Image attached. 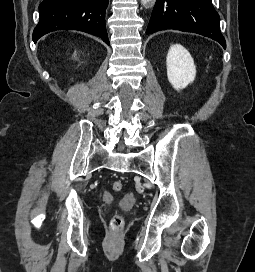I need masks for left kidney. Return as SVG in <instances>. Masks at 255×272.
Segmentation results:
<instances>
[{"mask_svg":"<svg viewBox=\"0 0 255 272\" xmlns=\"http://www.w3.org/2000/svg\"><path fill=\"white\" fill-rule=\"evenodd\" d=\"M167 77L177 91L192 83L196 77V67L190 53L182 45H172L166 58Z\"/></svg>","mask_w":255,"mask_h":272,"instance_id":"5707ae66","label":"left kidney"}]
</instances>
